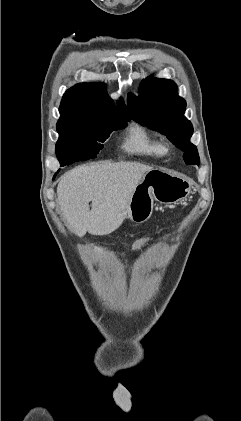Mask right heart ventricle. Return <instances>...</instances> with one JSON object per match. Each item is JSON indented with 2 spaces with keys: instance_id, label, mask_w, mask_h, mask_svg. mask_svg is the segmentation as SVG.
Here are the masks:
<instances>
[{
  "instance_id": "obj_1",
  "label": "right heart ventricle",
  "mask_w": 241,
  "mask_h": 421,
  "mask_svg": "<svg viewBox=\"0 0 241 421\" xmlns=\"http://www.w3.org/2000/svg\"><path fill=\"white\" fill-rule=\"evenodd\" d=\"M123 148L130 154L150 159H160L166 154L164 143L140 125L130 129Z\"/></svg>"
}]
</instances>
